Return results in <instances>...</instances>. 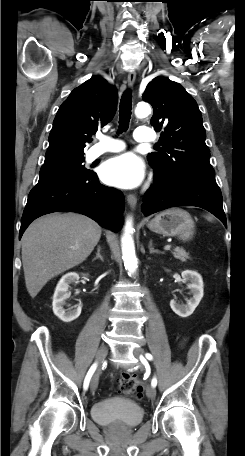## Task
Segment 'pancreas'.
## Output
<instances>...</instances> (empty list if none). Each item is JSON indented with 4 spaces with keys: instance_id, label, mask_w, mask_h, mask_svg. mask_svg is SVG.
I'll return each instance as SVG.
<instances>
[{
    "instance_id": "1",
    "label": "pancreas",
    "mask_w": 245,
    "mask_h": 456,
    "mask_svg": "<svg viewBox=\"0 0 245 456\" xmlns=\"http://www.w3.org/2000/svg\"><path fill=\"white\" fill-rule=\"evenodd\" d=\"M172 254L176 259H179L182 262H186L187 259H190L189 254L183 248L180 247H176L173 250Z\"/></svg>"
}]
</instances>
